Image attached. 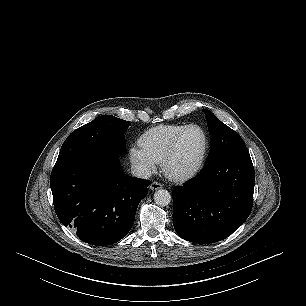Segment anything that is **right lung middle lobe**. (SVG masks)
<instances>
[{"label":"right lung middle lobe","instance_id":"1","mask_svg":"<svg viewBox=\"0 0 306 306\" xmlns=\"http://www.w3.org/2000/svg\"><path fill=\"white\" fill-rule=\"evenodd\" d=\"M131 125L112 115H102L73 131L63 143L55 166L89 154L126 153L124 133Z\"/></svg>","mask_w":306,"mask_h":306}]
</instances>
